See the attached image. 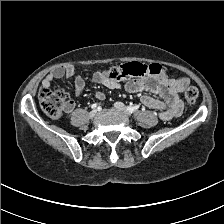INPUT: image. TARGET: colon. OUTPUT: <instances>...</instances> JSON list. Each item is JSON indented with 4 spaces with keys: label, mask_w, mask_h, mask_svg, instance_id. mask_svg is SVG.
<instances>
[{
    "label": "colon",
    "mask_w": 224,
    "mask_h": 224,
    "mask_svg": "<svg viewBox=\"0 0 224 224\" xmlns=\"http://www.w3.org/2000/svg\"><path fill=\"white\" fill-rule=\"evenodd\" d=\"M166 69L157 63L145 65L141 63H129L120 67L109 69L106 76L110 80L120 81L129 77H141L144 75L165 76ZM188 103H196L199 92L194 86H189L184 92ZM39 103L42 110L51 118H58L62 111L68 106V95L62 89L52 90L50 88H41L39 91Z\"/></svg>",
    "instance_id": "1"
}]
</instances>
